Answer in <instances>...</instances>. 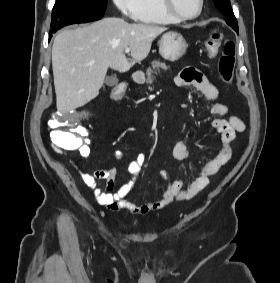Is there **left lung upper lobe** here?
<instances>
[{
    "label": "left lung upper lobe",
    "instance_id": "left-lung-upper-lobe-1",
    "mask_svg": "<svg viewBox=\"0 0 280 283\" xmlns=\"http://www.w3.org/2000/svg\"><path fill=\"white\" fill-rule=\"evenodd\" d=\"M216 7L226 16V23L238 32V23L233 13L230 0H213Z\"/></svg>",
    "mask_w": 280,
    "mask_h": 283
}]
</instances>
